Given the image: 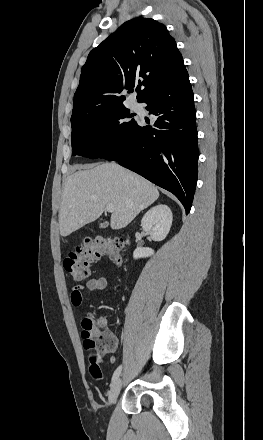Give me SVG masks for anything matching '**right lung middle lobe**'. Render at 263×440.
<instances>
[{"instance_id": "right-lung-middle-lobe-1", "label": "right lung middle lobe", "mask_w": 263, "mask_h": 440, "mask_svg": "<svg viewBox=\"0 0 263 440\" xmlns=\"http://www.w3.org/2000/svg\"><path fill=\"white\" fill-rule=\"evenodd\" d=\"M124 105L86 113L71 121L73 155L100 157L108 146L119 143L137 125Z\"/></svg>"}]
</instances>
